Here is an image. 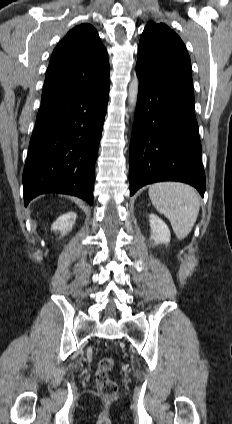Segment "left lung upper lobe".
Wrapping results in <instances>:
<instances>
[{"label":"left lung upper lobe","mask_w":232,"mask_h":424,"mask_svg":"<svg viewBox=\"0 0 232 424\" xmlns=\"http://www.w3.org/2000/svg\"><path fill=\"white\" fill-rule=\"evenodd\" d=\"M136 72L150 78L191 77L190 58L180 37L163 23L148 22L138 46Z\"/></svg>","instance_id":"left-lung-upper-lobe-1"}]
</instances>
